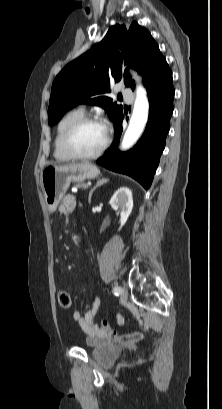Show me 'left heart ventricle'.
<instances>
[{"mask_svg": "<svg viewBox=\"0 0 222 409\" xmlns=\"http://www.w3.org/2000/svg\"><path fill=\"white\" fill-rule=\"evenodd\" d=\"M106 129L99 123L82 126L72 138V147L78 153L91 154L99 150L105 141Z\"/></svg>", "mask_w": 222, "mask_h": 409, "instance_id": "left-heart-ventricle-1", "label": "left heart ventricle"}]
</instances>
